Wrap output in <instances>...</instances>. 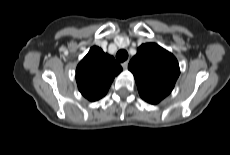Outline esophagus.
Segmentation results:
<instances>
[{
	"mask_svg": "<svg viewBox=\"0 0 230 155\" xmlns=\"http://www.w3.org/2000/svg\"><path fill=\"white\" fill-rule=\"evenodd\" d=\"M121 65H122V67L124 69H127V67H128V61L123 62Z\"/></svg>",
	"mask_w": 230,
	"mask_h": 155,
	"instance_id": "34e87169",
	"label": "esophagus"
}]
</instances>
